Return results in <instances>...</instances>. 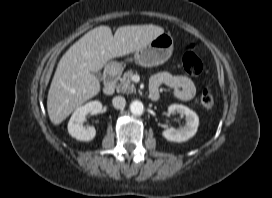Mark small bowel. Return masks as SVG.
<instances>
[{
  "label": "small bowel",
  "instance_id": "small-bowel-1",
  "mask_svg": "<svg viewBox=\"0 0 272 198\" xmlns=\"http://www.w3.org/2000/svg\"><path fill=\"white\" fill-rule=\"evenodd\" d=\"M162 84L172 88L174 96L180 100H190L196 93L195 85L190 78L161 72L151 79L150 96L152 99H156L152 95L154 92H158V88Z\"/></svg>",
  "mask_w": 272,
  "mask_h": 198
}]
</instances>
